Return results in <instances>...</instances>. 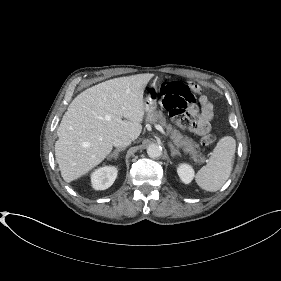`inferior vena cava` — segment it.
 Returning a JSON list of instances; mask_svg holds the SVG:
<instances>
[{
    "label": "inferior vena cava",
    "mask_w": 281,
    "mask_h": 281,
    "mask_svg": "<svg viewBox=\"0 0 281 281\" xmlns=\"http://www.w3.org/2000/svg\"><path fill=\"white\" fill-rule=\"evenodd\" d=\"M132 140L127 136H120L114 139L113 145L118 148H123L130 145Z\"/></svg>",
    "instance_id": "obj_1"
}]
</instances>
